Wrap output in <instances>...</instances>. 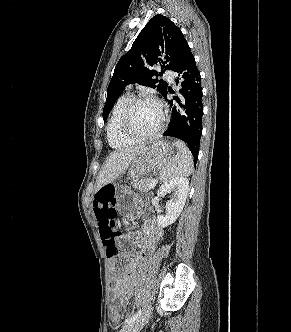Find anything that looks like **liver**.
Listing matches in <instances>:
<instances>
[{
	"label": "liver",
	"mask_w": 291,
	"mask_h": 332,
	"mask_svg": "<svg viewBox=\"0 0 291 332\" xmlns=\"http://www.w3.org/2000/svg\"><path fill=\"white\" fill-rule=\"evenodd\" d=\"M143 148L144 146L131 147L111 153L107 157L104 166L98 175L96 191L100 190L107 184L113 183L119 175L128 169L131 162Z\"/></svg>",
	"instance_id": "liver-1"
}]
</instances>
